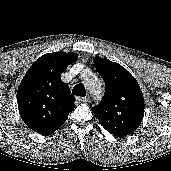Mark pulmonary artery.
I'll return each mask as SVG.
<instances>
[{
	"label": "pulmonary artery",
	"mask_w": 171,
	"mask_h": 171,
	"mask_svg": "<svg viewBox=\"0 0 171 171\" xmlns=\"http://www.w3.org/2000/svg\"><path fill=\"white\" fill-rule=\"evenodd\" d=\"M86 87H87L88 89H91V84H90V82H87V83H86Z\"/></svg>",
	"instance_id": "e3ab8cb5"
}]
</instances>
